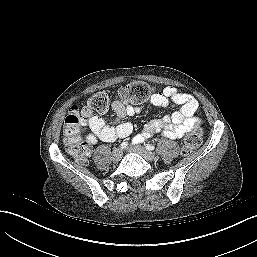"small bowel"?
I'll use <instances>...</instances> for the list:
<instances>
[{"label":"small bowel","instance_id":"obj_1","mask_svg":"<svg viewBox=\"0 0 257 257\" xmlns=\"http://www.w3.org/2000/svg\"><path fill=\"white\" fill-rule=\"evenodd\" d=\"M154 106H167L170 102L179 105V109L172 114H166L159 119L147 123L143 131L134 138V142H141L155 133H161L167 138H181L195 126L200 125V119L195 116L198 102L191 95L179 92L176 88L168 86L162 92L151 98ZM115 118L107 123L102 117L88 109L82 110L81 125L88 128L90 134L87 141L95 144L98 140L113 142L128 137L132 132V125L123 121L127 116H133L140 111V107L126 105L118 100L113 102Z\"/></svg>","mask_w":257,"mask_h":257}]
</instances>
